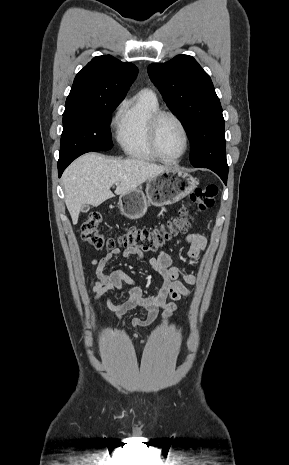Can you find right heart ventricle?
<instances>
[{
    "label": "right heart ventricle",
    "mask_w": 289,
    "mask_h": 465,
    "mask_svg": "<svg viewBox=\"0 0 289 465\" xmlns=\"http://www.w3.org/2000/svg\"><path fill=\"white\" fill-rule=\"evenodd\" d=\"M160 110L155 93L144 89L127 101L117 118V140L123 151L131 158L156 161L149 143L151 117Z\"/></svg>",
    "instance_id": "right-heart-ventricle-1"
}]
</instances>
